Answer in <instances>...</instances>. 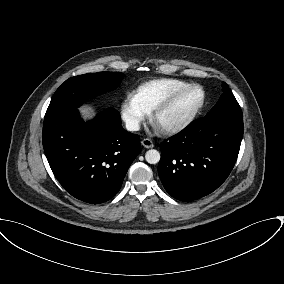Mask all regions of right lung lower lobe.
I'll return each mask as SVG.
<instances>
[{
    "label": "right lung lower lobe",
    "mask_w": 284,
    "mask_h": 284,
    "mask_svg": "<svg viewBox=\"0 0 284 284\" xmlns=\"http://www.w3.org/2000/svg\"><path fill=\"white\" fill-rule=\"evenodd\" d=\"M43 147L60 184L73 197L91 204L108 201L120 190L140 137L125 131L114 108L84 122L77 109L44 123Z\"/></svg>",
    "instance_id": "obj_1"
}]
</instances>
